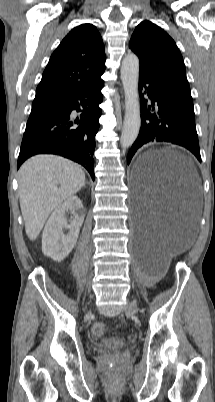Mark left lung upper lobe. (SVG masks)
Here are the masks:
<instances>
[{
  "label": "left lung upper lobe",
  "mask_w": 215,
  "mask_h": 402,
  "mask_svg": "<svg viewBox=\"0 0 215 402\" xmlns=\"http://www.w3.org/2000/svg\"><path fill=\"white\" fill-rule=\"evenodd\" d=\"M129 48L139 58L141 74L154 78L177 96L193 102L182 55L163 29L150 21L141 22L131 36Z\"/></svg>",
  "instance_id": "obj_1"
}]
</instances>
